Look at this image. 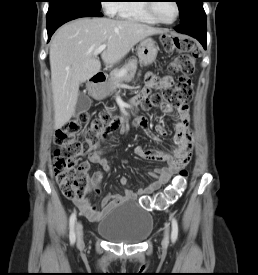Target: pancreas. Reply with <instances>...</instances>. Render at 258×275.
<instances>
[{
    "instance_id": "cf45deb5",
    "label": "pancreas",
    "mask_w": 258,
    "mask_h": 275,
    "mask_svg": "<svg viewBox=\"0 0 258 275\" xmlns=\"http://www.w3.org/2000/svg\"><path fill=\"white\" fill-rule=\"evenodd\" d=\"M125 71L124 75H119L121 71ZM137 70V60L131 59L129 60L123 67L120 69H115L112 71L110 78L108 79V91L112 92L115 88V86L122 81H130Z\"/></svg>"
}]
</instances>
